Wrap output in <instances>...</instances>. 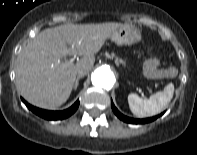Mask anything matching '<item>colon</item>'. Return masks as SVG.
Returning a JSON list of instances; mask_svg holds the SVG:
<instances>
[{"label": "colon", "instance_id": "colon-1", "mask_svg": "<svg viewBox=\"0 0 197 155\" xmlns=\"http://www.w3.org/2000/svg\"><path fill=\"white\" fill-rule=\"evenodd\" d=\"M150 64L153 65V66H157L158 65V61L156 59H152L150 61Z\"/></svg>", "mask_w": 197, "mask_h": 155}]
</instances>
